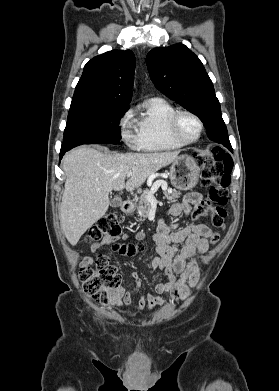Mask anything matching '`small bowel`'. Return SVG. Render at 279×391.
Wrapping results in <instances>:
<instances>
[{
  "label": "small bowel",
  "mask_w": 279,
  "mask_h": 391,
  "mask_svg": "<svg viewBox=\"0 0 279 391\" xmlns=\"http://www.w3.org/2000/svg\"><path fill=\"white\" fill-rule=\"evenodd\" d=\"M201 201L202 195L199 192L188 193L183 201L170 205L169 213L172 216H187L191 212L192 205H198ZM212 234V230L205 224L190 223L179 229L177 223L167 224L161 219L153 237L157 255L151 262L150 273L161 270L168 276V281L155 284L151 291L141 295L138 302L133 303L132 295L138 291L142 284L140 275L133 272L134 286L130 289L120 288L118 291L122 303L135 311H141L145 307L152 311L157 306L165 305V301L161 297L163 293H169L175 300L185 299L188 296L189 288L194 287L199 278L198 266L192 257L208 251V239ZM135 237L137 240H143L145 233L138 232ZM127 238L128 235L123 236V240ZM108 243L107 240L94 242L91 251L97 252ZM180 243H184L181 248L178 247ZM92 263L93 259L87 257L82 265H91Z\"/></svg>",
  "instance_id": "1"
}]
</instances>
